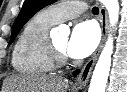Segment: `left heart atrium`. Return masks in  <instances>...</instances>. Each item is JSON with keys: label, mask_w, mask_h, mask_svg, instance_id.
Listing matches in <instances>:
<instances>
[{"label": "left heart atrium", "mask_w": 127, "mask_h": 92, "mask_svg": "<svg viewBox=\"0 0 127 92\" xmlns=\"http://www.w3.org/2000/svg\"><path fill=\"white\" fill-rule=\"evenodd\" d=\"M99 30L92 21L80 22L75 25L67 42L66 51L76 59L85 58L97 47Z\"/></svg>", "instance_id": "1"}]
</instances>
